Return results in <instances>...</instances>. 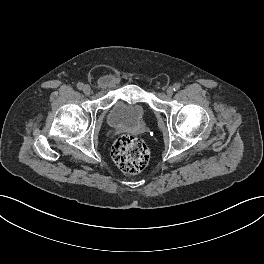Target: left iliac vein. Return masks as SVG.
Listing matches in <instances>:
<instances>
[{"label": "left iliac vein", "mask_w": 264, "mask_h": 264, "mask_svg": "<svg viewBox=\"0 0 264 264\" xmlns=\"http://www.w3.org/2000/svg\"><path fill=\"white\" fill-rule=\"evenodd\" d=\"M166 94L168 97H171L173 95V88L172 87H168L166 90Z\"/></svg>", "instance_id": "4c4485c4"}]
</instances>
